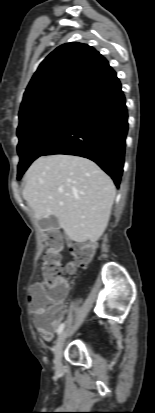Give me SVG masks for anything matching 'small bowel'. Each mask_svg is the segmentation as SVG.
Here are the masks:
<instances>
[{
    "mask_svg": "<svg viewBox=\"0 0 155 413\" xmlns=\"http://www.w3.org/2000/svg\"><path fill=\"white\" fill-rule=\"evenodd\" d=\"M39 292H45L44 287L41 284L34 285L29 294V304L32 307V314L34 315V323L37 332L39 335L46 341H52L54 337V333L57 330L58 325L64 318V313L62 310L63 304L60 302L56 305L54 311L47 312V319L46 321L42 320L41 314L35 311L34 309V301L35 297Z\"/></svg>",
    "mask_w": 155,
    "mask_h": 413,
    "instance_id": "c3829d8e",
    "label": "small bowel"
}]
</instances>
